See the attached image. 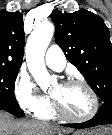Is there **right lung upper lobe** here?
<instances>
[{"label":"right lung upper lobe","mask_w":112,"mask_h":135,"mask_svg":"<svg viewBox=\"0 0 112 135\" xmlns=\"http://www.w3.org/2000/svg\"><path fill=\"white\" fill-rule=\"evenodd\" d=\"M23 48L22 14L6 10L0 11V65H21Z\"/></svg>","instance_id":"right-lung-upper-lobe-1"}]
</instances>
